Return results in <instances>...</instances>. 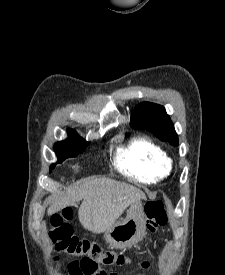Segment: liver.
Returning a JSON list of instances; mask_svg holds the SVG:
<instances>
[{
	"instance_id": "obj_1",
	"label": "liver",
	"mask_w": 225,
	"mask_h": 275,
	"mask_svg": "<svg viewBox=\"0 0 225 275\" xmlns=\"http://www.w3.org/2000/svg\"><path fill=\"white\" fill-rule=\"evenodd\" d=\"M146 200L143 191L135 186L110 178H87L68 188L48 209L54 214L82 201L78 217L81 225L93 233L111 228L124 210L136 201Z\"/></svg>"
}]
</instances>
